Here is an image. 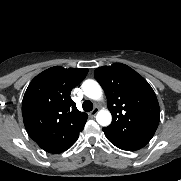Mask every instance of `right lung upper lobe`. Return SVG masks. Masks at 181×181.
<instances>
[{"label": "right lung upper lobe", "instance_id": "1", "mask_svg": "<svg viewBox=\"0 0 181 181\" xmlns=\"http://www.w3.org/2000/svg\"><path fill=\"white\" fill-rule=\"evenodd\" d=\"M86 68L51 67L29 84L22 102L23 121L29 136L48 153L66 150L88 119L70 98L71 90L87 75Z\"/></svg>", "mask_w": 181, "mask_h": 181}]
</instances>
